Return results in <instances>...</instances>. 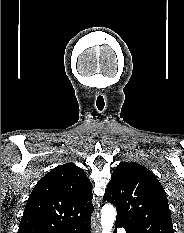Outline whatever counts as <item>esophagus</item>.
I'll return each mask as SVG.
<instances>
[{"mask_svg":"<svg viewBox=\"0 0 184 233\" xmlns=\"http://www.w3.org/2000/svg\"><path fill=\"white\" fill-rule=\"evenodd\" d=\"M100 230H101L100 226H99V225H97V227H96V233H99V232H100Z\"/></svg>","mask_w":184,"mask_h":233,"instance_id":"obj_1","label":"esophagus"}]
</instances>
